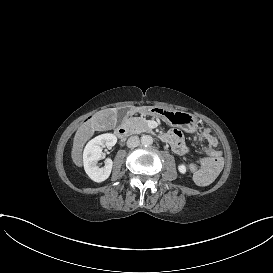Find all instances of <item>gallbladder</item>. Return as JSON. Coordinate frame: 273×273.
I'll return each instance as SVG.
<instances>
[{
    "mask_svg": "<svg viewBox=\"0 0 273 273\" xmlns=\"http://www.w3.org/2000/svg\"><path fill=\"white\" fill-rule=\"evenodd\" d=\"M136 111H137V108L135 106H132L131 108L127 107L126 109L124 107H121L119 109V114H118L119 121L123 120L126 117V113L130 114L131 112L135 113Z\"/></svg>",
    "mask_w": 273,
    "mask_h": 273,
    "instance_id": "gallbladder-1",
    "label": "gallbladder"
}]
</instances>
